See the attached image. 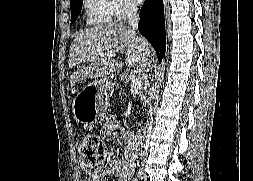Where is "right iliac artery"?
I'll return each mask as SVG.
<instances>
[{"label": "right iliac artery", "mask_w": 253, "mask_h": 181, "mask_svg": "<svg viewBox=\"0 0 253 181\" xmlns=\"http://www.w3.org/2000/svg\"><path fill=\"white\" fill-rule=\"evenodd\" d=\"M138 173H139V177H140L141 179H143V171L140 170Z\"/></svg>", "instance_id": "1"}]
</instances>
